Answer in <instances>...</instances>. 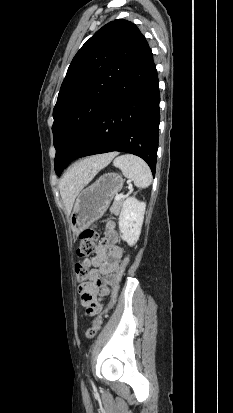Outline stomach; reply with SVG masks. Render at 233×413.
Returning a JSON list of instances; mask_svg holds the SVG:
<instances>
[{"label": "stomach", "instance_id": "stomach-1", "mask_svg": "<svg viewBox=\"0 0 233 413\" xmlns=\"http://www.w3.org/2000/svg\"><path fill=\"white\" fill-rule=\"evenodd\" d=\"M123 183L120 175L108 173L79 193L69 220L75 236L103 216Z\"/></svg>", "mask_w": 233, "mask_h": 413}]
</instances>
